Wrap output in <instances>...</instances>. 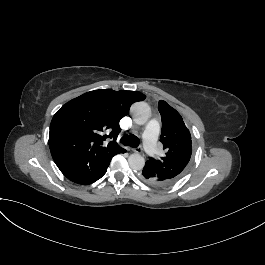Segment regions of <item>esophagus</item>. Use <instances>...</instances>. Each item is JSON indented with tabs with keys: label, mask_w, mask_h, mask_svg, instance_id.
I'll list each match as a JSON object with an SVG mask.
<instances>
[{
	"label": "esophagus",
	"mask_w": 265,
	"mask_h": 265,
	"mask_svg": "<svg viewBox=\"0 0 265 265\" xmlns=\"http://www.w3.org/2000/svg\"><path fill=\"white\" fill-rule=\"evenodd\" d=\"M133 151L136 152V153H142L143 147L139 146V147L135 148Z\"/></svg>",
	"instance_id": "34e87169"
}]
</instances>
